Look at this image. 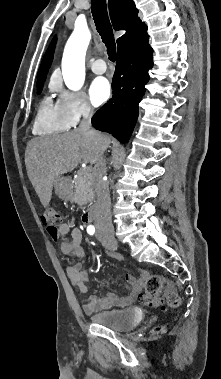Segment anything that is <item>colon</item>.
<instances>
[{"label":"colon","mask_w":221,"mask_h":379,"mask_svg":"<svg viewBox=\"0 0 221 379\" xmlns=\"http://www.w3.org/2000/svg\"><path fill=\"white\" fill-rule=\"evenodd\" d=\"M41 221L51 234H55L61 219L59 211L55 208L46 209L41 215ZM143 304L148 306H161L166 304L170 308L180 306V297L173 282L161 275H150L145 281V294L140 297ZM163 328L156 327L155 333H161Z\"/></svg>","instance_id":"obj_1"}]
</instances>
